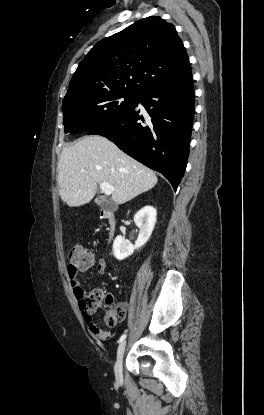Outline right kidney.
<instances>
[{"mask_svg":"<svg viewBox=\"0 0 264 415\" xmlns=\"http://www.w3.org/2000/svg\"><path fill=\"white\" fill-rule=\"evenodd\" d=\"M157 211L153 206H145L134 216V222L140 229L138 238L133 245L122 236L113 242V254L117 260H123L133 254L135 249L142 247L150 238L156 224Z\"/></svg>","mask_w":264,"mask_h":415,"instance_id":"right-kidney-1","label":"right kidney"}]
</instances>
